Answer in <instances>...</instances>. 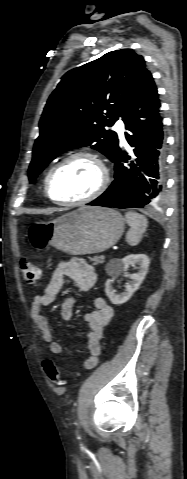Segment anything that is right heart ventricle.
<instances>
[{
  "mask_svg": "<svg viewBox=\"0 0 187 479\" xmlns=\"http://www.w3.org/2000/svg\"><path fill=\"white\" fill-rule=\"evenodd\" d=\"M46 176H47V175H46ZM46 176H45V178H44V183H45V180H46Z\"/></svg>",
  "mask_w": 187,
  "mask_h": 479,
  "instance_id": "1",
  "label": "right heart ventricle"
}]
</instances>
